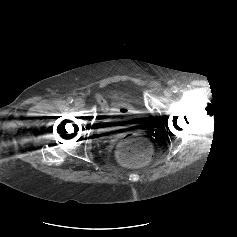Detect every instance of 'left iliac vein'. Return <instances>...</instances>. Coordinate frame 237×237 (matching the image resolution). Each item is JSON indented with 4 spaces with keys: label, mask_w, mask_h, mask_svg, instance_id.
<instances>
[{
    "label": "left iliac vein",
    "mask_w": 237,
    "mask_h": 237,
    "mask_svg": "<svg viewBox=\"0 0 237 237\" xmlns=\"http://www.w3.org/2000/svg\"><path fill=\"white\" fill-rule=\"evenodd\" d=\"M164 95L166 96V97H171L172 96V90L171 89H165L164 90Z\"/></svg>",
    "instance_id": "1"
}]
</instances>
